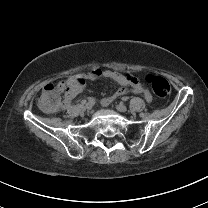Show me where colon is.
I'll use <instances>...</instances> for the list:
<instances>
[{
	"instance_id": "5ec220e1",
	"label": "colon",
	"mask_w": 208,
	"mask_h": 208,
	"mask_svg": "<svg viewBox=\"0 0 208 208\" xmlns=\"http://www.w3.org/2000/svg\"><path fill=\"white\" fill-rule=\"evenodd\" d=\"M144 80L157 97L165 98L171 93L169 82L161 76L147 74ZM71 91L70 85L64 82L48 87L40 103L42 109L48 112L61 110L64 104L62 99L69 97Z\"/></svg>"
}]
</instances>
